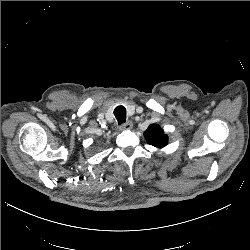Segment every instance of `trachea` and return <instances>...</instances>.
<instances>
[{"label": "trachea", "mask_w": 250, "mask_h": 250, "mask_svg": "<svg viewBox=\"0 0 250 250\" xmlns=\"http://www.w3.org/2000/svg\"><path fill=\"white\" fill-rule=\"evenodd\" d=\"M114 115L118 121V125L126 122V108L124 106H117L114 109Z\"/></svg>", "instance_id": "trachea-1"}]
</instances>
